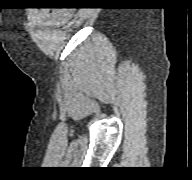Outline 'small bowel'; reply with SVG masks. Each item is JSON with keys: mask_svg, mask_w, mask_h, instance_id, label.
I'll use <instances>...</instances> for the list:
<instances>
[{"mask_svg": "<svg viewBox=\"0 0 192 180\" xmlns=\"http://www.w3.org/2000/svg\"><path fill=\"white\" fill-rule=\"evenodd\" d=\"M60 14L52 11H41L39 13V21L45 25H52L57 21Z\"/></svg>", "mask_w": 192, "mask_h": 180, "instance_id": "1", "label": "small bowel"}]
</instances>
